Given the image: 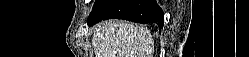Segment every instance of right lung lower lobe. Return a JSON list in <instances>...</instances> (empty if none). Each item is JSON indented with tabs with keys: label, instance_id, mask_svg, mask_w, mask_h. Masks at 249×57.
Listing matches in <instances>:
<instances>
[{
	"label": "right lung lower lobe",
	"instance_id": "1",
	"mask_svg": "<svg viewBox=\"0 0 249 57\" xmlns=\"http://www.w3.org/2000/svg\"><path fill=\"white\" fill-rule=\"evenodd\" d=\"M110 18L157 23L160 28L164 24L163 11L155 0H96L87 22L92 25Z\"/></svg>",
	"mask_w": 249,
	"mask_h": 57
}]
</instances>
